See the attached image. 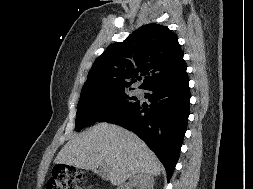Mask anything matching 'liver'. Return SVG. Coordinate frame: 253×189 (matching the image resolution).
I'll return each instance as SVG.
<instances>
[{
  "label": "liver",
  "mask_w": 253,
  "mask_h": 189,
  "mask_svg": "<svg viewBox=\"0 0 253 189\" xmlns=\"http://www.w3.org/2000/svg\"><path fill=\"white\" fill-rule=\"evenodd\" d=\"M54 162L89 170L104 164L107 173L104 175L115 186L136 174L158 176L162 171L161 163L140 138L105 122L71 138Z\"/></svg>",
  "instance_id": "obj_1"
}]
</instances>
